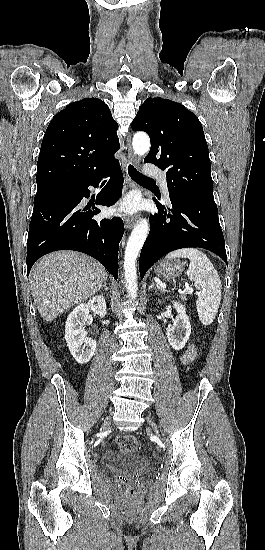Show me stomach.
I'll list each match as a JSON object with an SVG mask.
<instances>
[{"label": "stomach", "instance_id": "0dacf381", "mask_svg": "<svg viewBox=\"0 0 265 550\" xmlns=\"http://www.w3.org/2000/svg\"><path fill=\"white\" fill-rule=\"evenodd\" d=\"M183 270V265L179 260H166L159 263L155 272L164 279H171L179 275Z\"/></svg>", "mask_w": 265, "mask_h": 550}]
</instances>
